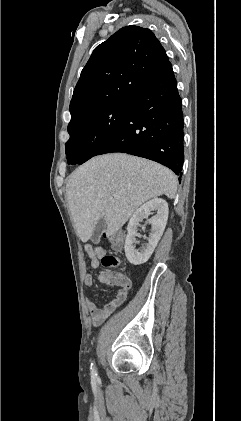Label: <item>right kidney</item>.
<instances>
[{"label":"right kidney","mask_w":241,"mask_h":421,"mask_svg":"<svg viewBox=\"0 0 241 421\" xmlns=\"http://www.w3.org/2000/svg\"><path fill=\"white\" fill-rule=\"evenodd\" d=\"M157 211V215L148 220L151 225V232L148 238V243L142 249L135 248V241L137 236V227L139 223L148 218L151 211ZM168 219V204L161 198H154L140 208H138L130 218L127 231L128 234L125 240V255L128 261L133 265H140L148 261L157 246L167 223Z\"/></svg>","instance_id":"1"}]
</instances>
